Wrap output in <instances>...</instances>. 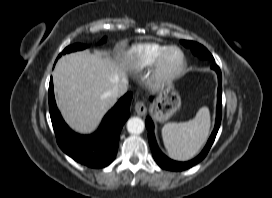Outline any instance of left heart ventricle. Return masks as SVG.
Instances as JSON below:
<instances>
[{"instance_id": "obj_1", "label": "left heart ventricle", "mask_w": 272, "mask_h": 198, "mask_svg": "<svg viewBox=\"0 0 272 198\" xmlns=\"http://www.w3.org/2000/svg\"><path fill=\"white\" fill-rule=\"evenodd\" d=\"M181 62V54L178 51H173L170 53V55L167 58L166 61V68L169 71L175 70Z\"/></svg>"}]
</instances>
